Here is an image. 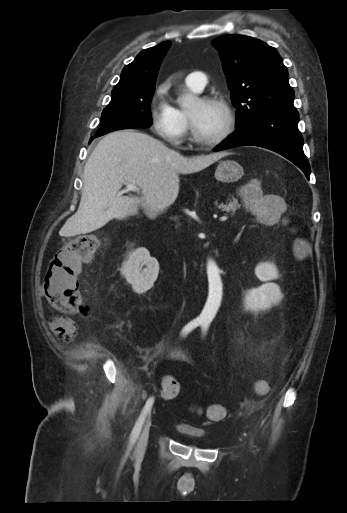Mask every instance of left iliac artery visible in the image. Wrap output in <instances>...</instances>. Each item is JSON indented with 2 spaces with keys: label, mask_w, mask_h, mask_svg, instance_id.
I'll return each instance as SVG.
<instances>
[{
  "label": "left iliac artery",
  "mask_w": 347,
  "mask_h": 513,
  "mask_svg": "<svg viewBox=\"0 0 347 513\" xmlns=\"http://www.w3.org/2000/svg\"><path fill=\"white\" fill-rule=\"evenodd\" d=\"M209 326V321H205L203 324H202V330H203V333L206 332L207 328Z\"/></svg>",
  "instance_id": "obj_1"
}]
</instances>
